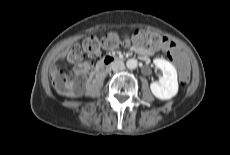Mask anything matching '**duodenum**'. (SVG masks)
Here are the masks:
<instances>
[{
  "label": "duodenum",
  "mask_w": 230,
  "mask_h": 155,
  "mask_svg": "<svg viewBox=\"0 0 230 155\" xmlns=\"http://www.w3.org/2000/svg\"><path fill=\"white\" fill-rule=\"evenodd\" d=\"M120 61L119 57L113 56V55H105L103 56L100 61L97 63L94 72H93V78L99 76L101 73L105 71L106 68L111 66L114 63H117Z\"/></svg>",
  "instance_id": "obj_1"
}]
</instances>
